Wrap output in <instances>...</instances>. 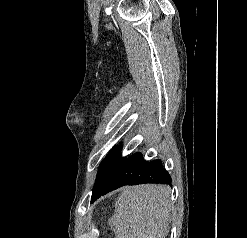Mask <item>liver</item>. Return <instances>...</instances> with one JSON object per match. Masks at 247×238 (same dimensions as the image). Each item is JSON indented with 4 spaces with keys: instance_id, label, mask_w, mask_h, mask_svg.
<instances>
[{
    "instance_id": "obj_1",
    "label": "liver",
    "mask_w": 247,
    "mask_h": 238,
    "mask_svg": "<svg viewBox=\"0 0 247 238\" xmlns=\"http://www.w3.org/2000/svg\"><path fill=\"white\" fill-rule=\"evenodd\" d=\"M170 191L152 184L123 187L108 220L115 238H166L172 211Z\"/></svg>"
}]
</instances>
